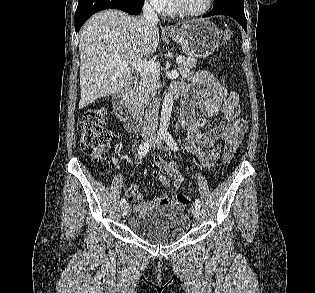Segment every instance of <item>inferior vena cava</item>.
Returning <instances> with one entry per match:
<instances>
[{
    "instance_id": "inferior-vena-cava-1",
    "label": "inferior vena cava",
    "mask_w": 315,
    "mask_h": 293,
    "mask_svg": "<svg viewBox=\"0 0 315 293\" xmlns=\"http://www.w3.org/2000/svg\"><path fill=\"white\" fill-rule=\"evenodd\" d=\"M142 17L144 19L146 31L155 28L157 23L159 22L156 12L153 10L148 1H146L144 4ZM158 87H159L158 81L151 82L150 92L152 91V94L155 95V97H153L152 101H150V103L148 104V108L146 109L144 115V123L142 127V134H148L153 136L156 134L158 124V112L160 105V99L156 93Z\"/></svg>"
}]
</instances>
